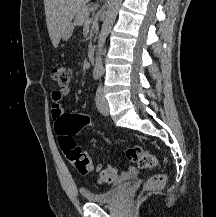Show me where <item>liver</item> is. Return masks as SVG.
<instances>
[{
    "label": "liver",
    "instance_id": "obj_1",
    "mask_svg": "<svg viewBox=\"0 0 216 217\" xmlns=\"http://www.w3.org/2000/svg\"><path fill=\"white\" fill-rule=\"evenodd\" d=\"M90 0H44L50 39L56 48L76 13Z\"/></svg>",
    "mask_w": 216,
    "mask_h": 217
}]
</instances>
